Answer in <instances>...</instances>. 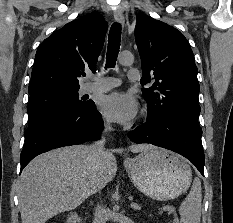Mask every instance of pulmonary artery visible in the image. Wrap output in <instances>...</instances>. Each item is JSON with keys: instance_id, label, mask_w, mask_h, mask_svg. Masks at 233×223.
Returning a JSON list of instances; mask_svg holds the SVG:
<instances>
[{"instance_id": "obj_1", "label": "pulmonary artery", "mask_w": 233, "mask_h": 223, "mask_svg": "<svg viewBox=\"0 0 233 223\" xmlns=\"http://www.w3.org/2000/svg\"><path fill=\"white\" fill-rule=\"evenodd\" d=\"M137 75H141V70L131 69L129 70V79L132 81L138 80L139 77ZM94 82L88 84L87 91L90 93H102L106 92L117 84H119L120 80L113 77L101 78L99 76H94L91 78Z\"/></svg>"}]
</instances>
